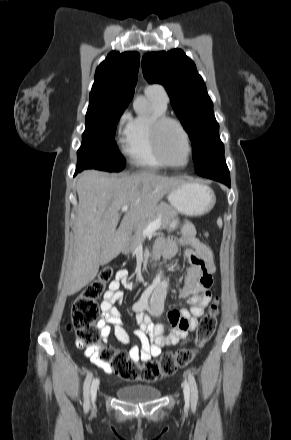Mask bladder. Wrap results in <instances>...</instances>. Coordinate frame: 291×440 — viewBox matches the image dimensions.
<instances>
[{
	"label": "bladder",
	"instance_id": "31cf9c89",
	"mask_svg": "<svg viewBox=\"0 0 291 440\" xmlns=\"http://www.w3.org/2000/svg\"><path fill=\"white\" fill-rule=\"evenodd\" d=\"M116 394L125 402H149L156 400L161 391L154 386L133 385L120 387Z\"/></svg>",
	"mask_w": 291,
	"mask_h": 440
}]
</instances>
